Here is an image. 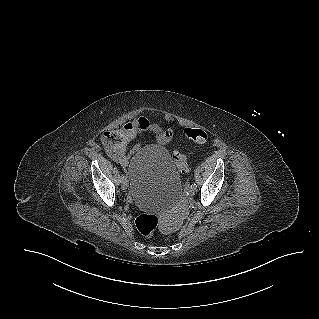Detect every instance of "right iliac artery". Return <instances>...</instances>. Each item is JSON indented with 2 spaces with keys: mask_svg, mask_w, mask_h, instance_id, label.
Segmentation results:
<instances>
[{
  "mask_svg": "<svg viewBox=\"0 0 319 319\" xmlns=\"http://www.w3.org/2000/svg\"><path fill=\"white\" fill-rule=\"evenodd\" d=\"M124 178H125V177L122 175V176H121V179L123 180Z\"/></svg>",
  "mask_w": 319,
  "mask_h": 319,
  "instance_id": "1",
  "label": "right iliac artery"
}]
</instances>
